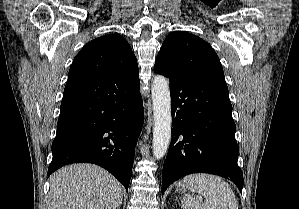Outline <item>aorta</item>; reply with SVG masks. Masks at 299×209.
<instances>
[{
    "instance_id": "762f6f07",
    "label": "aorta",
    "mask_w": 299,
    "mask_h": 209,
    "mask_svg": "<svg viewBox=\"0 0 299 209\" xmlns=\"http://www.w3.org/2000/svg\"><path fill=\"white\" fill-rule=\"evenodd\" d=\"M154 115L153 156H165L171 140V96L169 83L162 75H156L151 87Z\"/></svg>"
}]
</instances>
